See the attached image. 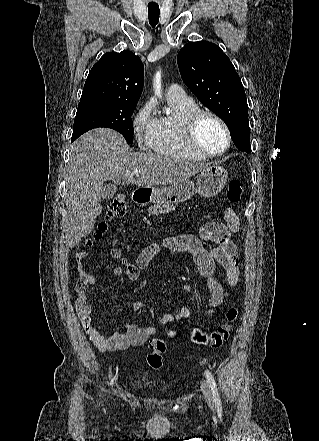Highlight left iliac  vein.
Wrapping results in <instances>:
<instances>
[{
  "mask_svg": "<svg viewBox=\"0 0 319 441\" xmlns=\"http://www.w3.org/2000/svg\"><path fill=\"white\" fill-rule=\"evenodd\" d=\"M201 391H202V393H203V395H204V398H205V400H206L208 406H209L211 409H213V407H214V402H213L212 393H211V390H210V388H209V385H208L205 381H202V382H201Z\"/></svg>",
  "mask_w": 319,
  "mask_h": 441,
  "instance_id": "4c4485c4",
  "label": "left iliac vein"
}]
</instances>
